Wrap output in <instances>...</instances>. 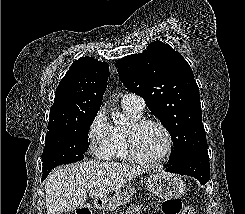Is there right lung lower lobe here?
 Listing matches in <instances>:
<instances>
[{"label": "right lung lower lobe", "instance_id": "1", "mask_svg": "<svg viewBox=\"0 0 245 214\" xmlns=\"http://www.w3.org/2000/svg\"><path fill=\"white\" fill-rule=\"evenodd\" d=\"M44 179H46V177H43V178H42V181H43Z\"/></svg>", "mask_w": 245, "mask_h": 214}]
</instances>
